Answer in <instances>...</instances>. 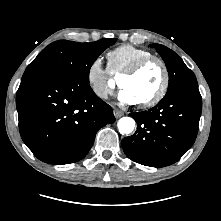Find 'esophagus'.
<instances>
[{"mask_svg":"<svg viewBox=\"0 0 221 221\" xmlns=\"http://www.w3.org/2000/svg\"><path fill=\"white\" fill-rule=\"evenodd\" d=\"M113 113L116 118H120L121 116H123V112L117 108L114 109Z\"/></svg>","mask_w":221,"mask_h":221,"instance_id":"1","label":"esophagus"}]
</instances>
